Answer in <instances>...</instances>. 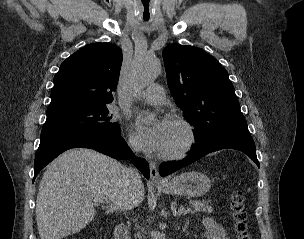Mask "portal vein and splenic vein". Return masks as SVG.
<instances>
[{
	"label": "portal vein and splenic vein",
	"mask_w": 304,
	"mask_h": 239,
	"mask_svg": "<svg viewBox=\"0 0 304 239\" xmlns=\"http://www.w3.org/2000/svg\"><path fill=\"white\" fill-rule=\"evenodd\" d=\"M96 202H104L103 200H101L100 198H95L94 199ZM190 208H180V210H179V212L181 213V214H187V213H189L190 212Z\"/></svg>",
	"instance_id": "1"
}]
</instances>
